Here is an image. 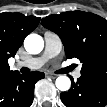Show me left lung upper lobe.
Wrapping results in <instances>:
<instances>
[{
  "label": "left lung upper lobe",
  "mask_w": 107,
  "mask_h": 107,
  "mask_svg": "<svg viewBox=\"0 0 107 107\" xmlns=\"http://www.w3.org/2000/svg\"><path fill=\"white\" fill-rule=\"evenodd\" d=\"M41 24L61 38L67 58H78L81 75L107 82V20L89 12L50 15Z\"/></svg>",
  "instance_id": "5c2ea615"
}]
</instances>
